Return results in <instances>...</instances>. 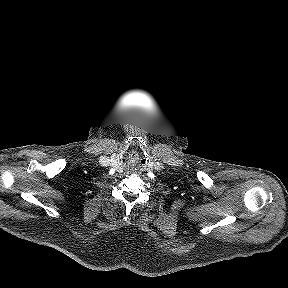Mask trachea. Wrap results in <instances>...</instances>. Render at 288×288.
Wrapping results in <instances>:
<instances>
[{
    "mask_svg": "<svg viewBox=\"0 0 288 288\" xmlns=\"http://www.w3.org/2000/svg\"><path fill=\"white\" fill-rule=\"evenodd\" d=\"M139 160H140V157L137 153L132 152V153H129L127 156V162L130 165L137 164L139 162Z\"/></svg>",
    "mask_w": 288,
    "mask_h": 288,
    "instance_id": "1",
    "label": "trachea"
}]
</instances>
